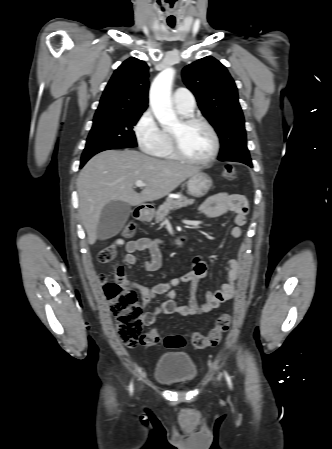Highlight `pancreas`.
Masks as SVG:
<instances>
[{
	"label": "pancreas",
	"mask_w": 332,
	"mask_h": 449,
	"mask_svg": "<svg viewBox=\"0 0 332 449\" xmlns=\"http://www.w3.org/2000/svg\"><path fill=\"white\" fill-rule=\"evenodd\" d=\"M194 203L193 199L185 196L180 198H167L166 201L155 212L154 217L157 223L162 222L171 210L187 207Z\"/></svg>",
	"instance_id": "obj_1"
}]
</instances>
